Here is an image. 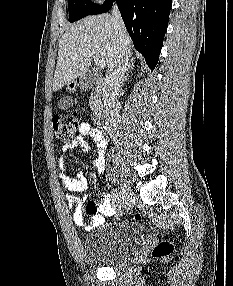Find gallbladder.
<instances>
[{
  "label": "gallbladder",
  "mask_w": 233,
  "mask_h": 286,
  "mask_svg": "<svg viewBox=\"0 0 233 286\" xmlns=\"http://www.w3.org/2000/svg\"><path fill=\"white\" fill-rule=\"evenodd\" d=\"M96 83V77L92 73H87L80 77L79 86L81 91H86L90 89ZM73 106V100L70 96H64L58 102V107L60 109H69Z\"/></svg>",
  "instance_id": "bac80fb5"
}]
</instances>
